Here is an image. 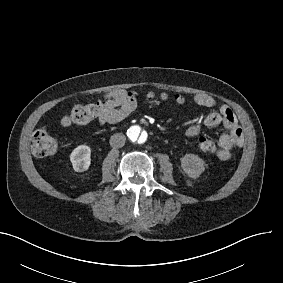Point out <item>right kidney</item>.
I'll list each match as a JSON object with an SVG mask.
<instances>
[{
    "label": "right kidney",
    "mask_w": 283,
    "mask_h": 283,
    "mask_svg": "<svg viewBox=\"0 0 283 283\" xmlns=\"http://www.w3.org/2000/svg\"><path fill=\"white\" fill-rule=\"evenodd\" d=\"M70 160L75 171L83 172L90 164V148L87 145L78 146L71 154Z\"/></svg>",
    "instance_id": "ca27d5eb"
}]
</instances>
